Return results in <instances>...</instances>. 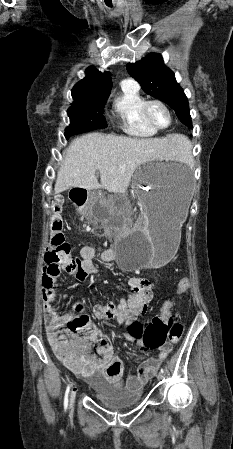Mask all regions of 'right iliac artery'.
<instances>
[{
    "label": "right iliac artery",
    "mask_w": 233,
    "mask_h": 449,
    "mask_svg": "<svg viewBox=\"0 0 233 449\" xmlns=\"http://www.w3.org/2000/svg\"><path fill=\"white\" fill-rule=\"evenodd\" d=\"M70 392V385L67 386L66 391H65V396H64V409L66 410L68 407V395Z\"/></svg>",
    "instance_id": "82829eb1"
}]
</instances>
